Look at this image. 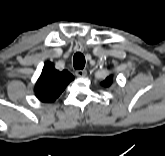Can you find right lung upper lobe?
<instances>
[{
	"label": "right lung upper lobe",
	"mask_w": 165,
	"mask_h": 156,
	"mask_svg": "<svg viewBox=\"0 0 165 156\" xmlns=\"http://www.w3.org/2000/svg\"><path fill=\"white\" fill-rule=\"evenodd\" d=\"M73 79L67 70L60 72L54 68L53 63L48 62L35 85L36 96L42 102H53Z\"/></svg>",
	"instance_id": "cb5924a9"
}]
</instances>
